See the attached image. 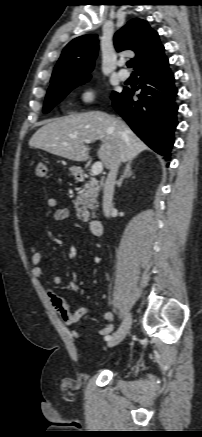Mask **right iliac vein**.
<instances>
[{"instance_id": "obj_1", "label": "right iliac vein", "mask_w": 202, "mask_h": 437, "mask_svg": "<svg viewBox=\"0 0 202 437\" xmlns=\"http://www.w3.org/2000/svg\"><path fill=\"white\" fill-rule=\"evenodd\" d=\"M132 323V317L129 314L123 323L121 324L120 328L113 334V337L107 342V345L109 347H114L118 345L127 335Z\"/></svg>"}]
</instances>
